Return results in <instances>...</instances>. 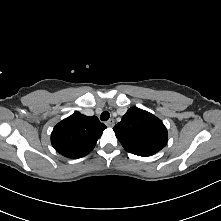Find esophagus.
<instances>
[{
	"label": "esophagus",
	"instance_id": "esophagus-1",
	"mask_svg": "<svg viewBox=\"0 0 221 221\" xmlns=\"http://www.w3.org/2000/svg\"><path fill=\"white\" fill-rule=\"evenodd\" d=\"M114 124H115L114 119H109V120L106 122V126H107V127H113Z\"/></svg>",
	"mask_w": 221,
	"mask_h": 221
}]
</instances>
